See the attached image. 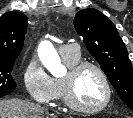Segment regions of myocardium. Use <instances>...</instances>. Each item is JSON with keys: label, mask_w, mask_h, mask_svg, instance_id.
Returning <instances> with one entry per match:
<instances>
[{"label": "myocardium", "mask_w": 133, "mask_h": 118, "mask_svg": "<svg viewBox=\"0 0 133 118\" xmlns=\"http://www.w3.org/2000/svg\"><path fill=\"white\" fill-rule=\"evenodd\" d=\"M86 69L95 70L101 77L106 90V97L103 103L95 107H86L81 105L75 98V83L78 76ZM63 85V100L65 104L72 110L86 114H96L105 110L112 100V85L105 73V71L97 64L93 62H79L69 68L68 73L62 79Z\"/></svg>", "instance_id": "1"}]
</instances>
